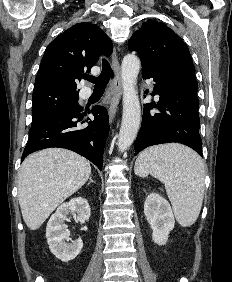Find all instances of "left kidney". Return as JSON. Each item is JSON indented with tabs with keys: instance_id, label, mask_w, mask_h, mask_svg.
<instances>
[{
	"instance_id": "5707ae66",
	"label": "left kidney",
	"mask_w": 232,
	"mask_h": 282,
	"mask_svg": "<svg viewBox=\"0 0 232 282\" xmlns=\"http://www.w3.org/2000/svg\"><path fill=\"white\" fill-rule=\"evenodd\" d=\"M144 214L153 231V241L158 245L166 244L175 224L168 201L157 193L149 194L144 203Z\"/></svg>"
}]
</instances>
